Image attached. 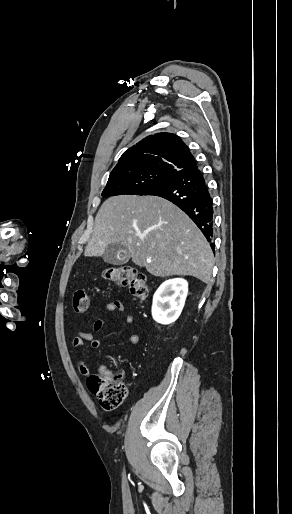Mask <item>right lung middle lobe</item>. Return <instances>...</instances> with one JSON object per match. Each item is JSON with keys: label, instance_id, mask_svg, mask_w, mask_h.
Listing matches in <instances>:
<instances>
[{"label": "right lung middle lobe", "instance_id": "right-lung-middle-lobe-1", "mask_svg": "<svg viewBox=\"0 0 292 514\" xmlns=\"http://www.w3.org/2000/svg\"><path fill=\"white\" fill-rule=\"evenodd\" d=\"M170 175L172 174L166 172H143L110 176L102 196L109 197L122 194L143 195Z\"/></svg>", "mask_w": 292, "mask_h": 514}]
</instances>
